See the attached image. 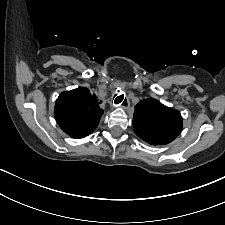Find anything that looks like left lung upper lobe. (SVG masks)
Masks as SVG:
<instances>
[{
    "label": "left lung upper lobe",
    "mask_w": 225,
    "mask_h": 225,
    "mask_svg": "<svg viewBox=\"0 0 225 225\" xmlns=\"http://www.w3.org/2000/svg\"><path fill=\"white\" fill-rule=\"evenodd\" d=\"M179 111L156 99L141 100L135 106L133 128L137 136L152 145L168 144L182 131Z\"/></svg>",
    "instance_id": "5c2ea615"
}]
</instances>
